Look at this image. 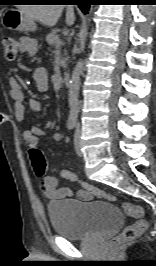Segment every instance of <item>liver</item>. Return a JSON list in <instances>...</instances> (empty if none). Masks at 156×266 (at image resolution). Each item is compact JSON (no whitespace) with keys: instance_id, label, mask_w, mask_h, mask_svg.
Masks as SVG:
<instances>
[{"instance_id":"1","label":"liver","mask_w":156,"mask_h":266,"mask_svg":"<svg viewBox=\"0 0 156 266\" xmlns=\"http://www.w3.org/2000/svg\"><path fill=\"white\" fill-rule=\"evenodd\" d=\"M64 6L62 5H30L21 6L19 10L33 21H39L45 26L52 27L59 20ZM75 16L72 6L66 8V23L72 25Z\"/></svg>"}]
</instances>
